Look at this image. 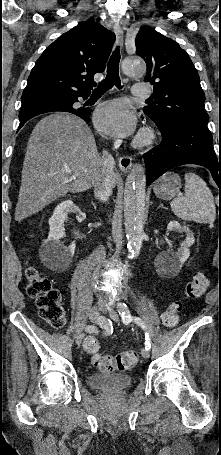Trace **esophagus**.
Returning a JSON list of instances; mask_svg holds the SVG:
<instances>
[{
  "mask_svg": "<svg viewBox=\"0 0 221 455\" xmlns=\"http://www.w3.org/2000/svg\"><path fill=\"white\" fill-rule=\"evenodd\" d=\"M114 33L116 35L118 44L120 46H122L123 45V30L118 24H116L114 26ZM131 166H132L131 157L121 156L119 158V167L124 173H127L129 171V169L131 168Z\"/></svg>",
  "mask_w": 221,
  "mask_h": 455,
  "instance_id": "34e87169",
  "label": "esophagus"
}]
</instances>
